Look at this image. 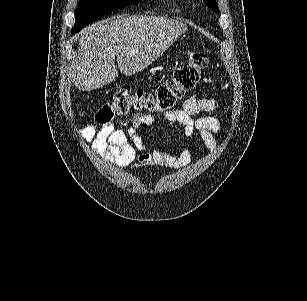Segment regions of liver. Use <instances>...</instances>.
Listing matches in <instances>:
<instances>
[{"instance_id": "liver-1", "label": "liver", "mask_w": 307, "mask_h": 301, "mask_svg": "<svg viewBox=\"0 0 307 301\" xmlns=\"http://www.w3.org/2000/svg\"><path fill=\"white\" fill-rule=\"evenodd\" d=\"M188 30L181 20L146 14H117L79 32L78 56L70 76L79 90H95L113 82L119 72L132 76L150 66Z\"/></svg>"}]
</instances>
